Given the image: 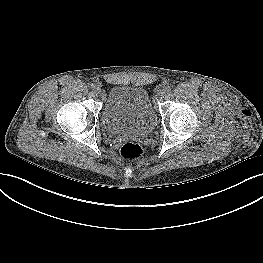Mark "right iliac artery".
<instances>
[{
  "instance_id": "obj_1",
  "label": "right iliac artery",
  "mask_w": 263,
  "mask_h": 263,
  "mask_svg": "<svg viewBox=\"0 0 263 263\" xmlns=\"http://www.w3.org/2000/svg\"><path fill=\"white\" fill-rule=\"evenodd\" d=\"M91 88H92L93 90H96V89L98 88V85H97L96 83H93V84L91 85Z\"/></svg>"
}]
</instances>
